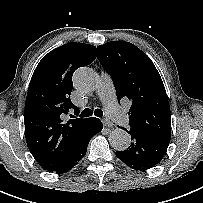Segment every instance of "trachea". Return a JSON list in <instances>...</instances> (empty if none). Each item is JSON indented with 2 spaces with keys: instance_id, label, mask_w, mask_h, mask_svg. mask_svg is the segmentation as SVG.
Instances as JSON below:
<instances>
[{
  "instance_id": "3493384b",
  "label": "trachea",
  "mask_w": 203,
  "mask_h": 203,
  "mask_svg": "<svg viewBox=\"0 0 203 203\" xmlns=\"http://www.w3.org/2000/svg\"><path fill=\"white\" fill-rule=\"evenodd\" d=\"M93 114L97 117H102L103 111L101 109H95L93 112L91 109L86 108L81 112L80 117H82V118L83 117H89V116H92Z\"/></svg>"
}]
</instances>
